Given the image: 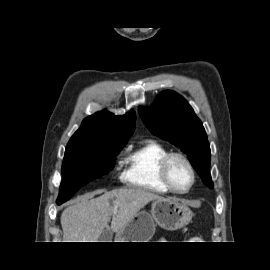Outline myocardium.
<instances>
[{"label":"myocardium","instance_id":"obj_1","mask_svg":"<svg viewBox=\"0 0 270 270\" xmlns=\"http://www.w3.org/2000/svg\"><path fill=\"white\" fill-rule=\"evenodd\" d=\"M176 159L182 161L188 167L191 174V182L189 186L184 190L178 189L171 180L170 166H171V163ZM160 176L165 186L171 192L176 193V194L188 193L193 188L196 182V171L193 164L191 163V161L188 159L187 156L178 152L169 153L162 159L161 164H160Z\"/></svg>","mask_w":270,"mask_h":270}]
</instances>
